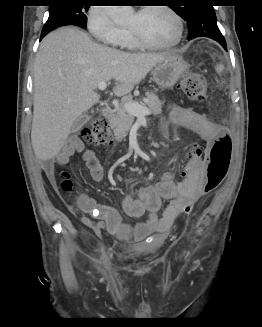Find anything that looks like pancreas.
<instances>
[{"instance_id":"pancreas-1","label":"pancreas","mask_w":262,"mask_h":327,"mask_svg":"<svg viewBox=\"0 0 262 327\" xmlns=\"http://www.w3.org/2000/svg\"><path fill=\"white\" fill-rule=\"evenodd\" d=\"M145 95V102L138 100L134 102L147 106L154 115L161 114L163 102L159 100L158 96L152 92H147ZM126 102H128V98H124L123 103ZM133 122L134 115L130 114L124 107H119L114 110V114L110 119V127L113 129L117 141H121L127 136Z\"/></svg>"}]
</instances>
